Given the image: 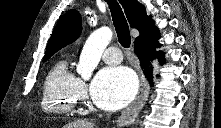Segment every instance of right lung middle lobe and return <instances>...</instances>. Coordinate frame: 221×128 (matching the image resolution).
<instances>
[{
  "instance_id": "1",
  "label": "right lung middle lobe",
  "mask_w": 221,
  "mask_h": 128,
  "mask_svg": "<svg viewBox=\"0 0 221 128\" xmlns=\"http://www.w3.org/2000/svg\"><path fill=\"white\" fill-rule=\"evenodd\" d=\"M52 55H47V56H44V59L43 61L45 62L46 60H48Z\"/></svg>"
}]
</instances>
